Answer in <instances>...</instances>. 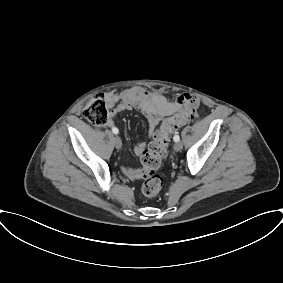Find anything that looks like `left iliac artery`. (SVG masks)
Here are the masks:
<instances>
[{"mask_svg": "<svg viewBox=\"0 0 283 283\" xmlns=\"http://www.w3.org/2000/svg\"><path fill=\"white\" fill-rule=\"evenodd\" d=\"M173 140H174L175 142L179 141V140H180L179 135H178V134H175L174 137H173Z\"/></svg>", "mask_w": 283, "mask_h": 283, "instance_id": "left-iliac-artery-1", "label": "left iliac artery"}]
</instances>
